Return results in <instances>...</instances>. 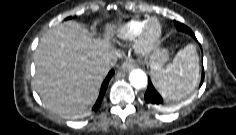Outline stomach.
<instances>
[{"mask_svg":"<svg viewBox=\"0 0 236 135\" xmlns=\"http://www.w3.org/2000/svg\"><path fill=\"white\" fill-rule=\"evenodd\" d=\"M169 55L168 51L164 48H157L154 50L153 54L150 57L151 69L156 66H163V64L168 60ZM153 72L151 71V76Z\"/></svg>","mask_w":236,"mask_h":135,"instance_id":"0dacf381","label":"stomach"}]
</instances>
